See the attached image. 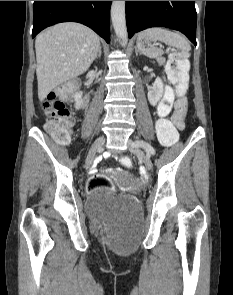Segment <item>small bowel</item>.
<instances>
[{
    "mask_svg": "<svg viewBox=\"0 0 233 295\" xmlns=\"http://www.w3.org/2000/svg\"><path fill=\"white\" fill-rule=\"evenodd\" d=\"M172 108H174L171 118L172 123L178 129H183L187 110V101L183 97L176 99L173 88L170 86H165L163 98L158 104L156 110L158 117L160 119H165L171 112Z\"/></svg>",
    "mask_w": 233,
    "mask_h": 295,
    "instance_id": "obj_1",
    "label": "small bowel"
}]
</instances>
